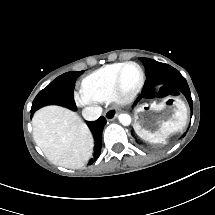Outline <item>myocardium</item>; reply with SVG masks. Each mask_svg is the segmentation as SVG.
Segmentation results:
<instances>
[{
    "label": "myocardium",
    "mask_w": 215,
    "mask_h": 215,
    "mask_svg": "<svg viewBox=\"0 0 215 215\" xmlns=\"http://www.w3.org/2000/svg\"><path fill=\"white\" fill-rule=\"evenodd\" d=\"M126 66H133L137 69L138 71V80L131 89L130 93L129 92H124L123 90H119V82L122 77V72L125 70ZM117 69V77H116V83L113 85L114 86V91L113 95L110 97L111 101L114 105L118 107H129L132 103L133 100L136 98L138 93L140 92L141 88L144 85L145 82V74L142 69V67L135 61H126L121 63Z\"/></svg>",
    "instance_id": "1"
}]
</instances>
